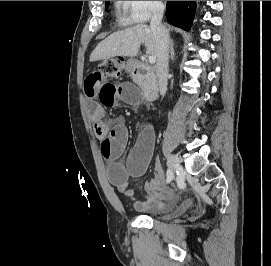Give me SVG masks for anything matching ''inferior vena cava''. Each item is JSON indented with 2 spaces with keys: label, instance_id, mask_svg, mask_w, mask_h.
I'll return each mask as SVG.
<instances>
[{
  "label": "inferior vena cava",
  "instance_id": "obj_1",
  "mask_svg": "<svg viewBox=\"0 0 271 266\" xmlns=\"http://www.w3.org/2000/svg\"><path fill=\"white\" fill-rule=\"evenodd\" d=\"M165 7L157 4L153 10L150 28L155 36L157 47L156 75L159 82V90L162 96L167 90L168 62H169V34L162 25Z\"/></svg>",
  "mask_w": 271,
  "mask_h": 266
}]
</instances>
